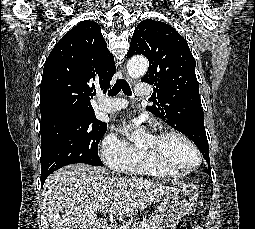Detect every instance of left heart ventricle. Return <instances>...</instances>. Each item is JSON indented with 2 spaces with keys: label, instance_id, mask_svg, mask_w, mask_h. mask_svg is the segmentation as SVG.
Here are the masks:
<instances>
[{
  "label": "left heart ventricle",
  "instance_id": "b2bd125f",
  "mask_svg": "<svg viewBox=\"0 0 255 229\" xmlns=\"http://www.w3.org/2000/svg\"><path fill=\"white\" fill-rule=\"evenodd\" d=\"M139 147L171 168H187L197 162L196 153L191 146L177 136L146 135Z\"/></svg>",
  "mask_w": 255,
  "mask_h": 229
}]
</instances>
